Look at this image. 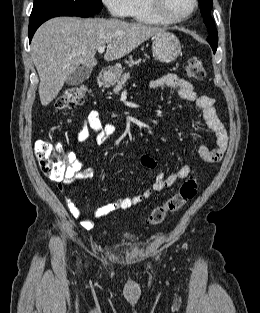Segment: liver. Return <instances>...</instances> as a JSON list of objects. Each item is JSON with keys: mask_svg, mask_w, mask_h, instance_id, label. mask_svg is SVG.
I'll return each instance as SVG.
<instances>
[{"mask_svg": "<svg viewBox=\"0 0 260 313\" xmlns=\"http://www.w3.org/2000/svg\"><path fill=\"white\" fill-rule=\"evenodd\" d=\"M165 30L119 19L57 17L46 21L31 42V56L40 79L41 104L49 105L80 65L88 69L96 66L98 47L107 45L104 59L113 61Z\"/></svg>", "mask_w": 260, "mask_h": 313, "instance_id": "obj_1", "label": "liver"}]
</instances>
